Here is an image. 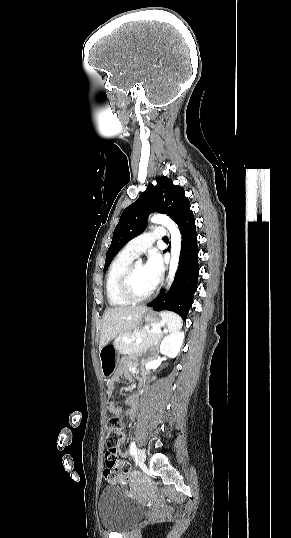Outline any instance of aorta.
<instances>
[{"instance_id": "762f6f07", "label": "aorta", "mask_w": 291, "mask_h": 538, "mask_svg": "<svg viewBox=\"0 0 291 538\" xmlns=\"http://www.w3.org/2000/svg\"><path fill=\"white\" fill-rule=\"evenodd\" d=\"M150 220L153 223H160L164 225L171 234V261L168 273V286H170L178 268L179 256L181 251V234L178 229V226L169 217L165 215L157 214L152 216ZM137 263L140 265L142 261L139 260Z\"/></svg>"}]
</instances>
